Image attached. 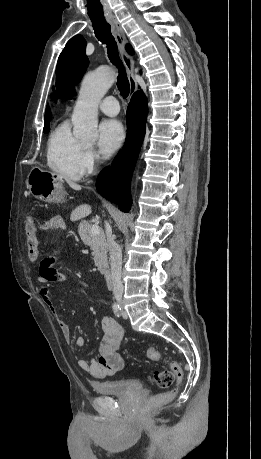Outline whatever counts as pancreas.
Listing matches in <instances>:
<instances>
[{
	"mask_svg": "<svg viewBox=\"0 0 261 459\" xmlns=\"http://www.w3.org/2000/svg\"><path fill=\"white\" fill-rule=\"evenodd\" d=\"M91 227V223L82 221L78 226V233L84 244L91 248L95 265L101 268L107 264L108 250L105 234L103 231H100L99 234L92 235Z\"/></svg>",
	"mask_w": 261,
	"mask_h": 459,
	"instance_id": "pancreas-1",
	"label": "pancreas"
}]
</instances>
